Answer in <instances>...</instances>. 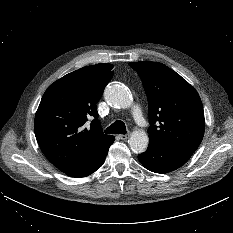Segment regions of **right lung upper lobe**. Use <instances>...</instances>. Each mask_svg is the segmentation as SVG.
Returning a JSON list of instances; mask_svg holds the SVG:
<instances>
[{"label":"right lung upper lobe","mask_w":233,"mask_h":233,"mask_svg":"<svg viewBox=\"0 0 233 233\" xmlns=\"http://www.w3.org/2000/svg\"><path fill=\"white\" fill-rule=\"evenodd\" d=\"M112 64L86 66L60 78L45 91L34 121L47 159L62 172L97 156L114 138L102 133L96 104L113 76ZM93 116L90 130L82 129Z\"/></svg>","instance_id":"cb5924a9"}]
</instances>
